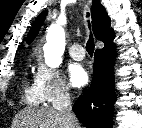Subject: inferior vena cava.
I'll return each mask as SVG.
<instances>
[{
	"label": "inferior vena cava",
	"mask_w": 142,
	"mask_h": 128,
	"mask_svg": "<svg viewBox=\"0 0 142 128\" xmlns=\"http://www.w3.org/2000/svg\"><path fill=\"white\" fill-rule=\"evenodd\" d=\"M58 110L62 117L65 119L67 128H79L76 116L72 111V103L67 91L62 92L60 95Z\"/></svg>",
	"instance_id": "602c4592"
}]
</instances>
